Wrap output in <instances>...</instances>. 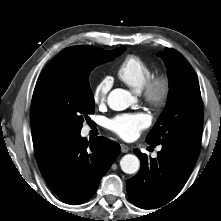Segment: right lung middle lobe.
<instances>
[{
  "label": "right lung middle lobe",
  "mask_w": 221,
  "mask_h": 221,
  "mask_svg": "<svg viewBox=\"0 0 221 221\" xmlns=\"http://www.w3.org/2000/svg\"><path fill=\"white\" fill-rule=\"evenodd\" d=\"M126 48L105 51L73 46L61 51L43 70L31 103L32 135L49 131H81L95 111L88 77L98 65L112 61Z\"/></svg>",
  "instance_id": "dd1d6c3e"
}]
</instances>
